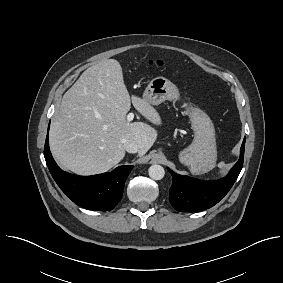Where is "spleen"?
<instances>
[{
    "label": "spleen",
    "mask_w": 283,
    "mask_h": 283,
    "mask_svg": "<svg viewBox=\"0 0 283 283\" xmlns=\"http://www.w3.org/2000/svg\"><path fill=\"white\" fill-rule=\"evenodd\" d=\"M220 168H222V167H224V163L223 162H221V163H219V165H218ZM215 167V163L214 164H212V165H210V167L205 171V172H207V171H209V170H211V169H213Z\"/></svg>",
    "instance_id": "spleen-1"
}]
</instances>
